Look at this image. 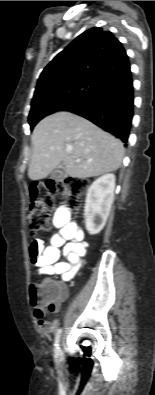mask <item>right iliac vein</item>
<instances>
[{
  "label": "right iliac vein",
  "mask_w": 155,
  "mask_h": 395,
  "mask_svg": "<svg viewBox=\"0 0 155 395\" xmlns=\"http://www.w3.org/2000/svg\"><path fill=\"white\" fill-rule=\"evenodd\" d=\"M59 358L62 359V351L59 350Z\"/></svg>",
  "instance_id": "right-iliac-vein-1"
}]
</instances>
